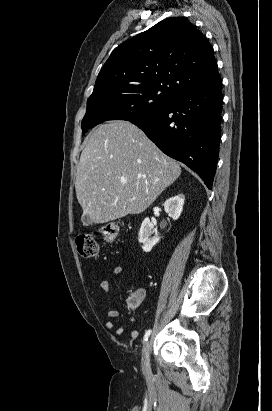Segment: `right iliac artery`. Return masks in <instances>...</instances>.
I'll return each mask as SVG.
<instances>
[{
	"instance_id": "right-iliac-artery-1",
	"label": "right iliac artery",
	"mask_w": 272,
	"mask_h": 411,
	"mask_svg": "<svg viewBox=\"0 0 272 411\" xmlns=\"http://www.w3.org/2000/svg\"><path fill=\"white\" fill-rule=\"evenodd\" d=\"M150 334H151V330H150V329L145 332V335H144V338H143V341H144V342L148 340V337L150 336Z\"/></svg>"
}]
</instances>
